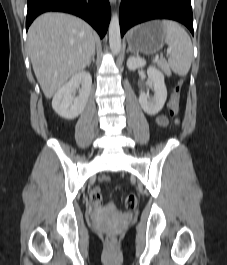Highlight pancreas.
Returning <instances> with one entry per match:
<instances>
[{"label": "pancreas", "instance_id": "1", "mask_svg": "<svg viewBox=\"0 0 227 265\" xmlns=\"http://www.w3.org/2000/svg\"><path fill=\"white\" fill-rule=\"evenodd\" d=\"M159 66H160L161 69L165 72L166 75H168V76L171 75V71H170L169 68L165 65V63H163V62H159Z\"/></svg>", "mask_w": 227, "mask_h": 265}]
</instances>
